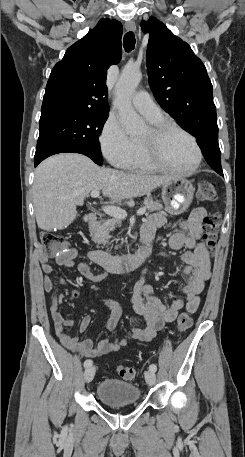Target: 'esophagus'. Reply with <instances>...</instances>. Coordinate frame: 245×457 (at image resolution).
<instances>
[{
  "instance_id": "34e87169",
  "label": "esophagus",
  "mask_w": 245,
  "mask_h": 457,
  "mask_svg": "<svg viewBox=\"0 0 245 457\" xmlns=\"http://www.w3.org/2000/svg\"><path fill=\"white\" fill-rule=\"evenodd\" d=\"M125 28L128 32H134L136 30V24L133 20H130V22L125 23Z\"/></svg>"
}]
</instances>
